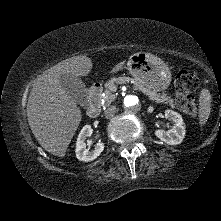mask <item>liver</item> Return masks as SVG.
<instances>
[{
	"label": "liver",
	"mask_w": 221,
	"mask_h": 221,
	"mask_svg": "<svg viewBox=\"0 0 221 221\" xmlns=\"http://www.w3.org/2000/svg\"><path fill=\"white\" fill-rule=\"evenodd\" d=\"M124 63L115 65L111 73H117ZM92 66L88 56L72 57L46 70L34 81L26 108L28 123L39 144L55 156H65L82 118L76 101L62 88L60 77L63 74L86 76Z\"/></svg>",
	"instance_id": "liver-1"
}]
</instances>
